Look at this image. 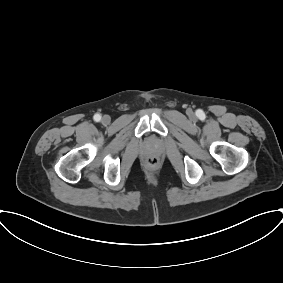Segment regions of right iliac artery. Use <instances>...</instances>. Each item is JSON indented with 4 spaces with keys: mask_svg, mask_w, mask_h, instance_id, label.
Instances as JSON below:
<instances>
[{
    "mask_svg": "<svg viewBox=\"0 0 283 283\" xmlns=\"http://www.w3.org/2000/svg\"><path fill=\"white\" fill-rule=\"evenodd\" d=\"M93 118L96 122H99L101 120L100 114H95Z\"/></svg>",
    "mask_w": 283,
    "mask_h": 283,
    "instance_id": "obj_1",
    "label": "right iliac artery"
}]
</instances>
